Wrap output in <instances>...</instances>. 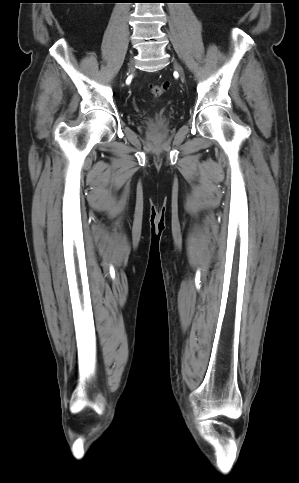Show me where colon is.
Segmentation results:
<instances>
[{"mask_svg": "<svg viewBox=\"0 0 299 483\" xmlns=\"http://www.w3.org/2000/svg\"><path fill=\"white\" fill-rule=\"evenodd\" d=\"M169 89L168 83L154 84L151 86V94L155 99L160 98Z\"/></svg>", "mask_w": 299, "mask_h": 483, "instance_id": "obj_1", "label": "colon"}]
</instances>
